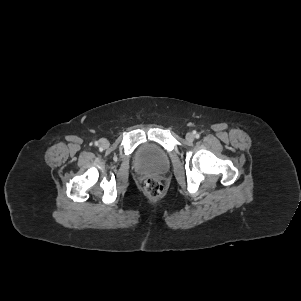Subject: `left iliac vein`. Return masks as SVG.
Returning <instances> with one entry per match:
<instances>
[{
    "instance_id": "4c4485c4",
    "label": "left iliac vein",
    "mask_w": 301,
    "mask_h": 301,
    "mask_svg": "<svg viewBox=\"0 0 301 301\" xmlns=\"http://www.w3.org/2000/svg\"><path fill=\"white\" fill-rule=\"evenodd\" d=\"M194 138H195V137H194V134H193V133H190V132H189V133L186 134V140H187V141L192 142V141L194 140Z\"/></svg>"
}]
</instances>
